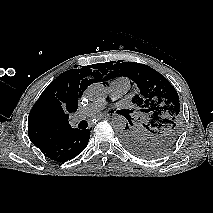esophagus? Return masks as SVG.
Wrapping results in <instances>:
<instances>
[{"label":"esophagus","instance_id":"1","mask_svg":"<svg viewBox=\"0 0 213 213\" xmlns=\"http://www.w3.org/2000/svg\"><path fill=\"white\" fill-rule=\"evenodd\" d=\"M109 117H110L109 115L104 114V115L98 116L97 120H101V119H105V118H109Z\"/></svg>","mask_w":213,"mask_h":213}]
</instances>
